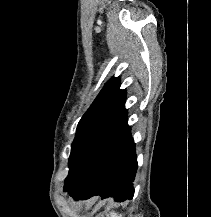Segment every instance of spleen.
Returning <instances> with one entry per match:
<instances>
[{
	"label": "spleen",
	"mask_w": 211,
	"mask_h": 217,
	"mask_svg": "<svg viewBox=\"0 0 211 217\" xmlns=\"http://www.w3.org/2000/svg\"><path fill=\"white\" fill-rule=\"evenodd\" d=\"M107 217H122V215H118L116 212L112 211L107 214Z\"/></svg>",
	"instance_id": "obj_1"
}]
</instances>
